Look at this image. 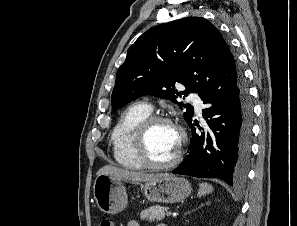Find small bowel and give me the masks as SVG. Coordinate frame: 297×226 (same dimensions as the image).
Wrapping results in <instances>:
<instances>
[{
    "label": "small bowel",
    "instance_id": "1",
    "mask_svg": "<svg viewBox=\"0 0 297 226\" xmlns=\"http://www.w3.org/2000/svg\"><path fill=\"white\" fill-rule=\"evenodd\" d=\"M127 226H140L138 221L136 220H131L128 222Z\"/></svg>",
    "mask_w": 297,
    "mask_h": 226
}]
</instances>
